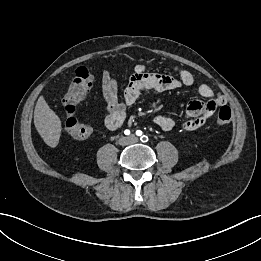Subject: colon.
Masks as SVG:
<instances>
[{"instance_id": "colon-1", "label": "colon", "mask_w": 261, "mask_h": 261, "mask_svg": "<svg viewBox=\"0 0 261 261\" xmlns=\"http://www.w3.org/2000/svg\"><path fill=\"white\" fill-rule=\"evenodd\" d=\"M92 85V75L87 67L80 66L75 70L71 87L63 99V106L66 113L65 131L74 139L83 140L91 134V127L80 122L75 116L78 96L81 92H87ZM232 110L223 105L220 107L217 118V125L222 126L231 122Z\"/></svg>"}]
</instances>
